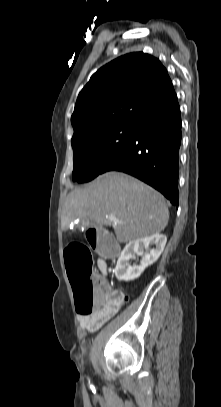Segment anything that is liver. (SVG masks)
Instances as JSON below:
<instances>
[{
	"label": "liver",
	"mask_w": 221,
	"mask_h": 407,
	"mask_svg": "<svg viewBox=\"0 0 221 407\" xmlns=\"http://www.w3.org/2000/svg\"><path fill=\"white\" fill-rule=\"evenodd\" d=\"M114 215L117 222L108 218ZM80 219L86 225L112 226L121 243L162 232L169 210L164 197L150 186L121 172H107L67 196L62 225Z\"/></svg>",
	"instance_id": "1"
}]
</instances>
